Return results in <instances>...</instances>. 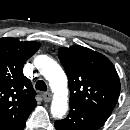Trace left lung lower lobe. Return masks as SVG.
Instances as JSON below:
<instances>
[{"label": "left lung lower lobe", "instance_id": "0a47b994", "mask_svg": "<svg viewBox=\"0 0 130 130\" xmlns=\"http://www.w3.org/2000/svg\"><path fill=\"white\" fill-rule=\"evenodd\" d=\"M108 118L96 111L83 107L70 106L69 115L55 122L56 130H97Z\"/></svg>", "mask_w": 130, "mask_h": 130}]
</instances>
